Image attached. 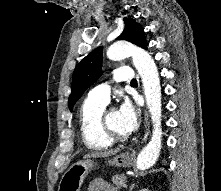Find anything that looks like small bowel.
Listing matches in <instances>:
<instances>
[{
	"instance_id": "obj_1",
	"label": "small bowel",
	"mask_w": 221,
	"mask_h": 191,
	"mask_svg": "<svg viewBox=\"0 0 221 191\" xmlns=\"http://www.w3.org/2000/svg\"><path fill=\"white\" fill-rule=\"evenodd\" d=\"M88 191H116L115 187L103 179L90 181Z\"/></svg>"
}]
</instances>
